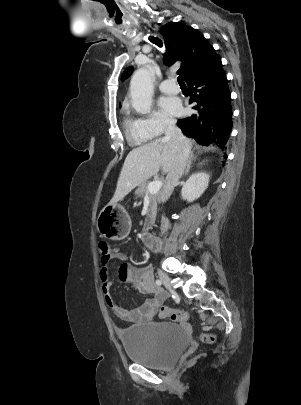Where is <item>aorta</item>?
Here are the masks:
<instances>
[{
  "instance_id": "obj_1",
  "label": "aorta",
  "mask_w": 301,
  "mask_h": 405,
  "mask_svg": "<svg viewBox=\"0 0 301 405\" xmlns=\"http://www.w3.org/2000/svg\"><path fill=\"white\" fill-rule=\"evenodd\" d=\"M130 94L133 108L139 113H149L153 95V80L148 70L138 69L130 82Z\"/></svg>"
}]
</instances>
